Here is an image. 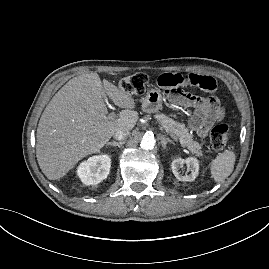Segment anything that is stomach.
Here are the masks:
<instances>
[{"instance_id": "1", "label": "stomach", "mask_w": 269, "mask_h": 269, "mask_svg": "<svg viewBox=\"0 0 269 269\" xmlns=\"http://www.w3.org/2000/svg\"><path fill=\"white\" fill-rule=\"evenodd\" d=\"M163 96L159 89H150L142 102V109L147 113H154L162 109Z\"/></svg>"}]
</instances>
